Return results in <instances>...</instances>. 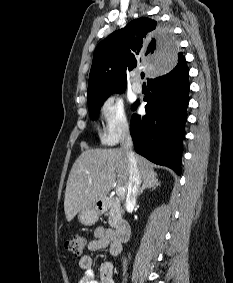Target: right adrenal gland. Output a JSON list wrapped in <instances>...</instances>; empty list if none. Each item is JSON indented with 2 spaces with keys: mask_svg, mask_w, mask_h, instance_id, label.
<instances>
[{
  "mask_svg": "<svg viewBox=\"0 0 233 283\" xmlns=\"http://www.w3.org/2000/svg\"><path fill=\"white\" fill-rule=\"evenodd\" d=\"M160 186V182L158 181L157 175H153L149 180L145 181L140 188L137 197H139L145 189H155L156 187Z\"/></svg>",
  "mask_w": 233,
  "mask_h": 283,
  "instance_id": "right-adrenal-gland-1",
  "label": "right adrenal gland"
}]
</instances>
